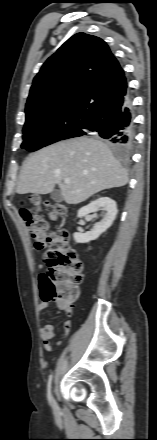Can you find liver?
<instances>
[{
	"label": "liver",
	"mask_w": 157,
	"mask_h": 440,
	"mask_svg": "<svg viewBox=\"0 0 157 440\" xmlns=\"http://www.w3.org/2000/svg\"><path fill=\"white\" fill-rule=\"evenodd\" d=\"M65 179H70V183L66 184ZM127 182V171L105 143L78 137L30 154L22 165L17 193L47 194L57 184L66 203L78 204Z\"/></svg>",
	"instance_id": "1"
}]
</instances>
